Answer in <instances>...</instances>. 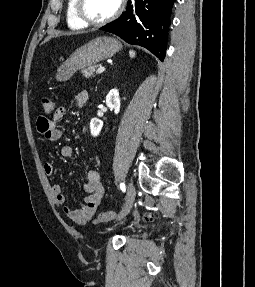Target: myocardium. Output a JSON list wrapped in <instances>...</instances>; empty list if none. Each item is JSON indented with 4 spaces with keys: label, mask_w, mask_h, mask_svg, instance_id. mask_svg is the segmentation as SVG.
Instances as JSON below:
<instances>
[{
    "label": "myocardium",
    "mask_w": 255,
    "mask_h": 287,
    "mask_svg": "<svg viewBox=\"0 0 255 287\" xmlns=\"http://www.w3.org/2000/svg\"><path fill=\"white\" fill-rule=\"evenodd\" d=\"M91 23H94V22H91ZM89 33H94V32H89ZM88 39H97V38H88ZM109 39H123V38H109ZM129 48H145V47H129Z\"/></svg>",
    "instance_id": "1"
}]
</instances>
